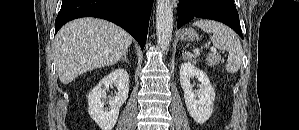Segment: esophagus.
<instances>
[{"mask_svg":"<svg viewBox=\"0 0 299 130\" xmlns=\"http://www.w3.org/2000/svg\"><path fill=\"white\" fill-rule=\"evenodd\" d=\"M172 4H173V6L176 8L177 5H178V1H177V0H172Z\"/></svg>","mask_w":299,"mask_h":130,"instance_id":"1","label":"esophagus"}]
</instances>
